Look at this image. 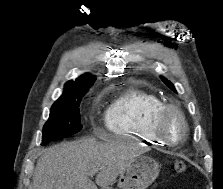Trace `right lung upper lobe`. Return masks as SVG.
<instances>
[{"instance_id": "obj_1", "label": "right lung upper lobe", "mask_w": 223, "mask_h": 189, "mask_svg": "<svg viewBox=\"0 0 223 189\" xmlns=\"http://www.w3.org/2000/svg\"><path fill=\"white\" fill-rule=\"evenodd\" d=\"M95 78L91 74H84L75 81H68L65 84L64 92L61 97L71 96L80 92H86L94 83Z\"/></svg>"}]
</instances>
